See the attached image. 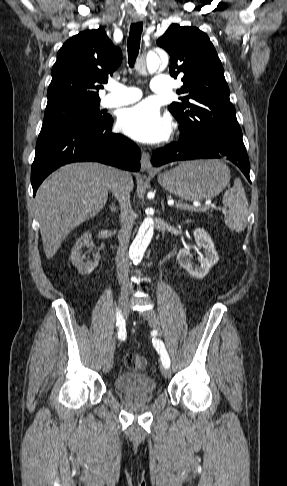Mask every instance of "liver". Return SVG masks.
Here are the masks:
<instances>
[{"mask_svg": "<svg viewBox=\"0 0 287 486\" xmlns=\"http://www.w3.org/2000/svg\"><path fill=\"white\" fill-rule=\"evenodd\" d=\"M114 172V168L95 162L72 163L40 185L35 205L48 259L73 229L103 209ZM125 182L131 191L134 183L129 173H125Z\"/></svg>", "mask_w": 287, "mask_h": 486, "instance_id": "1", "label": "liver"}]
</instances>
